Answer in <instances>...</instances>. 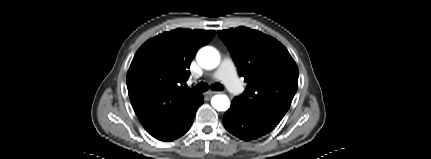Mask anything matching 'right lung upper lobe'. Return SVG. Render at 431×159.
I'll use <instances>...</instances> for the list:
<instances>
[{
    "mask_svg": "<svg viewBox=\"0 0 431 159\" xmlns=\"http://www.w3.org/2000/svg\"><path fill=\"white\" fill-rule=\"evenodd\" d=\"M214 35L212 30L176 29L148 40L136 52L126 83L133 109L152 136L197 95L183 84L196 52Z\"/></svg>",
    "mask_w": 431,
    "mask_h": 159,
    "instance_id": "cb5924a9",
    "label": "right lung upper lobe"
}]
</instances>
